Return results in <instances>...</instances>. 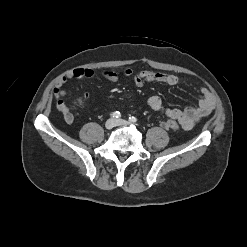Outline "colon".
I'll list each match as a JSON object with an SVG mask.
<instances>
[{
    "label": "colon",
    "instance_id": "colon-1",
    "mask_svg": "<svg viewBox=\"0 0 247 247\" xmlns=\"http://www.w3.org/2000/svg\"><path fill=\"white\" fill-rule=\"evenodd\" d=\"M162 125L164 126V128L171 130H175L179 128V122L174 119L164 120L162 121Z\"/></svg>",
    "mask_w": 247,
    "mask_h": 247
}]
</instances>
